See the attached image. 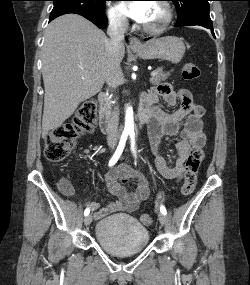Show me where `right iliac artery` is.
<instances>
[{
  "instance_id": "82829eb1",
  "label": "right iliac artery",
  "mask_w": 250,
  "mask_h": 285,
  "mask_svg": "<svg viewBox=\"0 0 250 285\" xmlns=\"http://www.w3.org/2000/svg\"><path fill=\"white\" fill-rule=\"evenodd\" d=\"M127 136H128V134H122L119 145H118L114 155L112 156V158L109 161L110 167L113 166L118 161V159L120 158V156L124 150V147H125ZM89 213H90V209L86 208L84 211V215L87 216Z\"/></svg>"
}]
</instances>
